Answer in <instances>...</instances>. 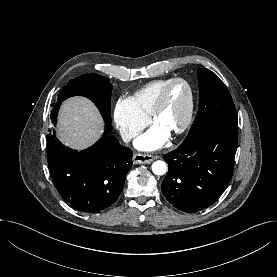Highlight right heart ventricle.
Listing matches in <instances>:
<instances>
[{
	"label": "right heart ventricle",
	"instance_id": "e07e8e85",
	"mask_svg": "<svg viewBox=\"0 0 277 277\" xmlns=\"http://www.w3.org/2000/svg\"><path fill=\"white\" fill-rule=\"evenodd\" d=\"M171 79L154 80L137 90L131 97L138 110L149 117L162 88Z\"/></svg>",
	"mask_w": 277,
	"mask_h": 277
}]
</instances>
